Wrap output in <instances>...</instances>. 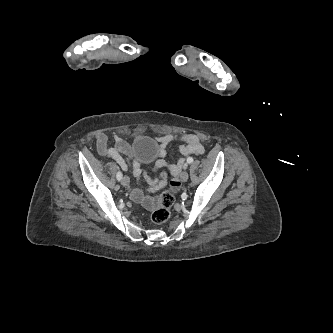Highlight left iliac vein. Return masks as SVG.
I'll use <instances>...</instances> for the list:
<instances>
[{"instance_id": "1", "label": "left iliac vein", "mask_w": 333, "mask_h": 333, "mask_svg": "<svg viewBox=\"0 0 333 333\" xmlns=\"http://www.w3.org/2000/svg\"><path fill=\"white\" fill-rule=\"evenodd\" d=\"M189 178V175L186 171H183L180 173V180L183 182H186Z\"/></svg>"}]
</instances>
